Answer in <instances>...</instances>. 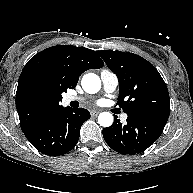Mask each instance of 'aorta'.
<instances>
[{
    "mask_svg": "<svg viewBox=\"0 0 193 193\" xmlns=\"http://www.w3.org/2000/svg\"><path fill=\"white\" fill-rule=\"evenodd\" d=\"M82 88L89 94L97 93L101 88V80L94 73L85 74L81 80ZM98 123L103 127H109L113 124V115L109 112H102L98 116Z\"/></svg>",
    "mask_w": 193,
    "mask_h": 193,
    "instance_id": "obj_1",
    "label": "aorta"
}]
</instances>
